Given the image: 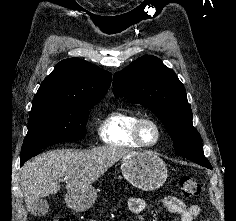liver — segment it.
<instances>
[{"label": "liver", "instance_id": "6515ba94", "mask_svg": "<svg viewBox=\"0 0 236 221\" xmlns=\"http://www.w3.org/2000/svg\"><path fill=\"white\" fill-rule=\"evenodd\" d=\"M129 150L116 146L96 147L90 150H52L25 163L20 170V185L27 210L36 199L56 194L59 182L66 180L68 191L91 186Z\"/></svg>", "mask_w": 236, "mask_h": 221}]
</instances>
